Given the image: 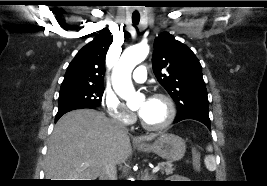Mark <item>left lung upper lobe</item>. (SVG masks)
<instances>
[{"mask_svg": "<svg viewBox=\"0 0 267 186\" xmlns=\"http://www.w3.org/2000/svg\"><path fill=\"white\" fill-rule=\"evenodd\" d=\"M152 65L158 82L177 104V116L208 115V97L202 67L186 45L168 33L154 41Z\"/></svg>", "mask_w": 267, "mask_h": 186, "instance_id": "5c2ea615", "label": "left lung upper lobe"}]
</instances>
